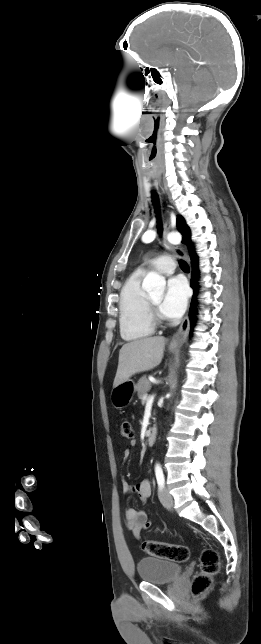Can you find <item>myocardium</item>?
<instances>
[{"label":"myocardium","instance_id":"myocardium-1","mask_svg":"<svg viewBox=\"0 0 261 644\" xmlns=\"http://www.w3.org/2000/svg\"><path fill=\"white\" fill-rule=\"evenodd\" d=\"M148 310L154 325H160L165 322V317L160 313L158 307L153 303L150 297H148Z\"/></svg>","mask_w":261,"mask_h":644}]
</instances>
